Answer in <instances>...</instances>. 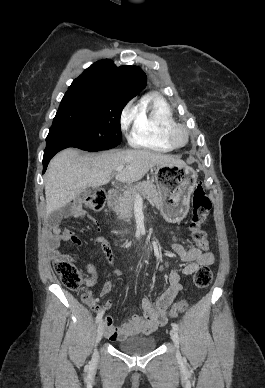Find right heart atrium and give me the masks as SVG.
Wrapping results in <instances>:
<instances>
[{
  "instance_id": "1",
  "label": "right heart atrium",
  "mask_w": 265,
  "mask_h": 388,
  "mask_svg": "<svg viewBox=\"0 0 265 388\" xmlns=\"http://www.w3.org/2000/svg\"><path fill=\"white\" fill-rule=\"evenodd\" d=\"M135 109L133 108L132 104H129L125 111H124V115H123V123L124 124H127L135 115Z\"/></svg>"
}]
</instances>
